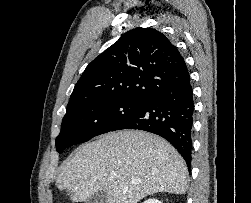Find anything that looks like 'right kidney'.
<instances>
[{"label": "right kidney", "mask_w": 251, "mask_h": 203, "mask_svg": "<svg viewBox=\"0 0 251 203\" xmlns=\"http://www.w3.org/2000/svg\"><path fill=\"white\" fill-rule=\"evenodd\" d=\"M143 203H162V202L159 201L158 199L150 198L148 200H145Z\"/></svg>", "instance_id": "right-kidney-1"}]
</instances>
